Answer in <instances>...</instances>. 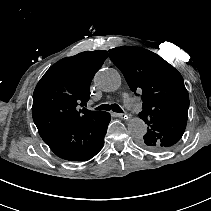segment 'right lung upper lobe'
Here are the masks:
<instances>
[{"label": "right lung upper lobe", "instance_id": "cb5924a9", "mask_svg": "<svg viewBox=\"0 0 211 211\" xmlns=\"http://www.w3.org/2000/svg\"><path fill=\"white\" fill-rule=\"evenodd\" d=\"M108 53L86 51L51 66L33 93L32 116L41 137L99 113L79 105L89 100L90 83Z\"/></svg>", "mask_w": 211, "mask_h": 211}]
</instances>
